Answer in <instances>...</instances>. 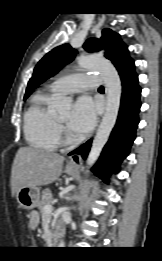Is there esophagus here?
Masks as SVG:
<instances>
[{
  "mask_svg": "<svg viewBox=\"0 0 162 261\" xmlns=\"http://www.w3.org/2000/svg\"><path fill=\"white\" fill-rule=\"evenodd\" d=\"M67 165L70 168H79L81 165V156L78 154L71 155Z\"/></svg>",
  "mask_w": 162,
  "mask_h": 261,
  "instance_id": "esophagus-1",
  "label": "esophagus"
}]
</instances>
